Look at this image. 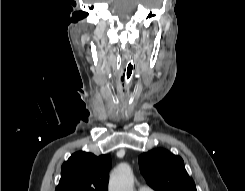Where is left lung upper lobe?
I'll return each mask as SVG.
<instances>
[{"label":"left lung upper lobe","mask_w":245,"mask_h":191,"mask_svg":"<svg viewBox=\"0 0 245 191\" xmlns=\"http://www.w3.org/2000/svg\"><path fill=\"white\" fill-rule=\"evenodd\" d=\"M140 170L149 186L158 191H197L183 159L165 149H154L138 158Z\"/></svg>","instance_id":"left-lung-upper-lobe-1"}]
</instances>
